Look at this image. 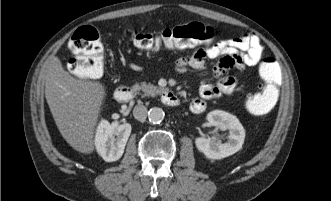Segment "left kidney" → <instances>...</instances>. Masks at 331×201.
<instances>
[{
	"label": "left kidney",
	"mask_w": 331,
	"mask_h": 201,
	"mask_svg": "<svg viewBox=\"0 0 331 201\" xmlns=\"http://www.w3.org/2000/svg\"><path fill=\"white\" fill-rule=\"evenodd\" d=\"M207 120L211 126L221 130H229L228 141L222 143L212 138L198 137L195 139L197 149L209 159H222L235 154L242 148L245 130L236 116L222 110L208 113Z\"/></svg>",
	"instance_id": "1"
}]
</instances>
